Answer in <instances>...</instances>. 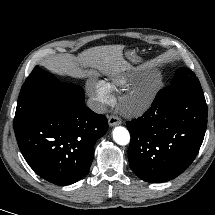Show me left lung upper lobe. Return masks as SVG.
I'll return each mask as SVG.
<instances>
[{"mask_svg": "<svg viewBox=\"0 0 215 215\" xmlns=\"http://www.w3.org/2000/svg\"><path fill=\"white\" fill-rule=\"evenodd\" d=\"M171 85L184 89L202 91L198 78L190 69L184 67L176 70Z\"/></svg>", "mask_w": 215, "mask_h": 215, "instance_id": "obj_1", "label": "left lung upper lobe"}]
</instances>
